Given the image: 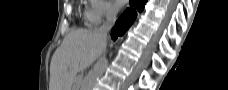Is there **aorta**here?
Here are the masks:
<instances>
[{
    "label": "aorta",
    "mask_w": 228,
    "mask_h": 90,
    "mask_svg": "<svg viewBox=\"0 0 228 90\" xmlns=\"http://www.w3.org/2000/svg\"><path fill=\"white\" fill-rule=\"evenodd\" d=\"M108 65L107 59H101L97 62L91 72L85 77L82 82L81 90H92L100 77L104 74Z\"/></svg>",
    "instance_id": "aorta-1"
}]
</instances>
